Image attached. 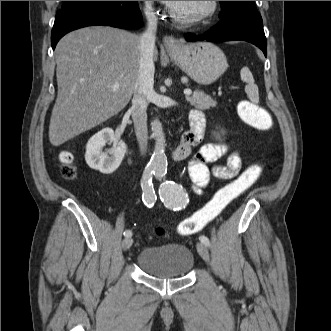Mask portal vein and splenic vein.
I'll return each instance as SVG.
<instances>
[{
    "instance_id": "portal-vein-and-splenic-vein-1",
    "label": "portal vein and splenic vein",
    "mask_w": 331,
    "mask_h": 331,
    "mask_svg": "<svg viewBox=\"0 0 331 331\" xmlns=\"http://www.w3.org/2000/svg\"><path fill=\"white\" fill-rule=\"evenodd\" d=\"M118 88H119V84L116 83V84L113 85V90H116ZM184 94L186 96H190L192 94V90L191 89H185Z\"/></svg>"
}]
</instances>
